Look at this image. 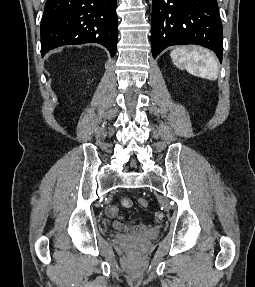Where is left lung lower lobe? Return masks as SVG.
<instances>
[{"instance_id": "left-lung-lower-lobe-1", "label": "left lung lower lobe", "mask_w": 255, "mask_h": 287, "mask_svg": "<svg viewBox=\"0 0 255 287\" xmlns=\"http://www.w3.org/2000/svg\"><path fill=\"white\" fill-rule=\"evenodd\" d=\"M152 54L172 45L198 44L222 61L223 35L217 0H153Z\"/></svg>"}]
</instances>
